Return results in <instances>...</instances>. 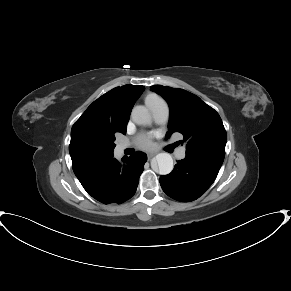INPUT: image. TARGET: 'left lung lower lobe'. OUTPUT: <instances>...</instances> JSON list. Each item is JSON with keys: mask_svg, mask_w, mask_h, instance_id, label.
Returning a JSON list of instances; mask_svg holds the SVG:
<instances>
[{"mask_svg": "<svg viewBox=\"0 0 291 291\" xmlns=\"http://www.w3.org/2000/svg\"><path fill=\"white\" fill-rule=\"evenodd\" d=\"M223 160L186 153L173 171L160 177L163 191L171 198L190 202L199 198L215 181Z\"/></svg>", "mask_w": 291, "mask_h": 291, "instance_id": "0a47b994", "label": "left lung lower lobe"}]
</instances>
